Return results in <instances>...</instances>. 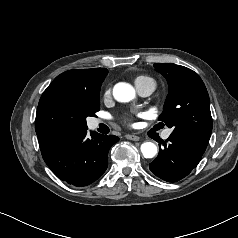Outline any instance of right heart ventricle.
Returning a JSON list of instances; mask_svg holds the SVG:
<instances>
[{"label": "right heart ventricle", "mask_w": 238, "mask_h": 238, "mask_svg": "<svg viewBox=\"0 0 238 238\" xmlns=\"http://www.w3.org/2000/svg\"><path fill=\"white\" fill-rule=\"evenodd\" d=\"M134 83L137 88L147 85V84H152L155 86V80L152 77L147 76V75H139V76L135 77Z\"/></svg>", "instance_id": "right-heart-ventricle-1"}]
</instances>
